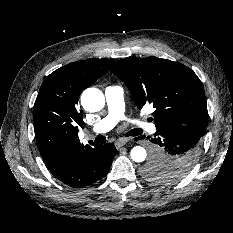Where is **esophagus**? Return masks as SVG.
<instances>
[{
  "instance_id": "esophagus-1",
  "label": "esophagus",
  "mask_w": 233,
  "mask_h": 233,
  "mask_svg": "<svg viewBox=\"0 0 233 233\" xmlns=\"http://www.w3.org/2000/svg\"><path fill=\"white\" fill-rule=\"evenodd\" d=\"M128 142V139L126 138H119L116 142H115V146L116 148H121L122 146H124L126 143Z\"/></svg>"
}]
</instances>
